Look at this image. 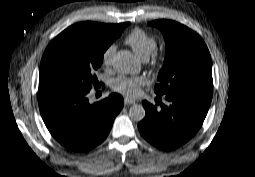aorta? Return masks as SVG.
Returning a JSON list of instances; mask_svg holds the SVG:
<instances>
[{"instance_id":"762f6f07","label":"aorta","mask_w":255,"mask_h":177,"mask_svg":"<svg viewBox=\"0 0 255 177\" xmlns=\"http://www.w3.org/2000/svg\"><path fill=\"white\" fill-rule=\"evenodd\" d=\"M114 69L123 74H137L140 71L139 63L133 54L126 50L118 51L113 58ZM145 109L140 104H134L129 109L131 120L139 122L145 117Z\"/></svg>"}]
</instances>
